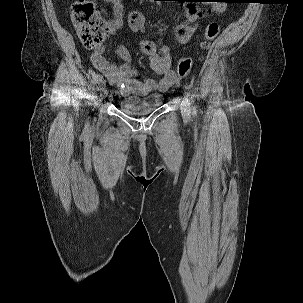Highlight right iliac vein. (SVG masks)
Wrapping results in <instances>:
<instances>
[{"mask_svg":"<svg viewBox=\"0 0 303 303\" xmlns=\"http://www.w3.org/2000/svg\"><path fill=\"white\" fill-rule=\"evenodd\" d=\"M106 94H107V90L104 88V89L102 90V93H100V96H99L98 101H101L102 97H104Z\"/></svg>","mask_w":303,"mask_h":303,"instance_id":"right-iliac-vein-1","label":"right iliac vein"}]
</instances>
